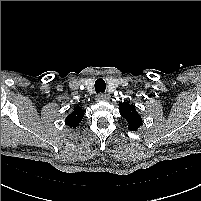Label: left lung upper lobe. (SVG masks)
Wrapping results in <instances>:
<instances>
[{
	"label": "left lung upper lobe",
	"mask_w": 201,
	"mask_h": 201,
	"mask_svg": "<svg viewBox=\"0 0 201 201\" xmlns=\"http://www.w3.org/2000/svg\"><path fill=\"white\" fill-rule=\"evenodd\" d=\"M119 110L128 122L130 130L136 131L142 125V118L136 111L135 105L123 102L119 104Z\"/></svg>",
	"instance_id": "1"
}]
</instances>
